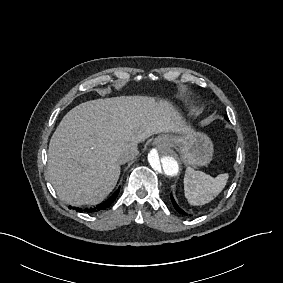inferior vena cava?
Returning <instances> with one entry per match:
<instances>
[{
	"label": "inferior vena cava",
	"instance_id": "1",
	"mask_svg": "<svg viewBox=\"0 0 283 283\" xmlns=\"http://www.w3.org/2000/svg\"><path fill=\"white\" fill-rule=\"evenodd\" d=\"M137 147L129 144L122 151H120L116 156V161L119 164H124L128 161L133 160L138 155Z\"/></svg>",
	"mask_w": 283,
	"mask_h": 283
}]
</instances>
